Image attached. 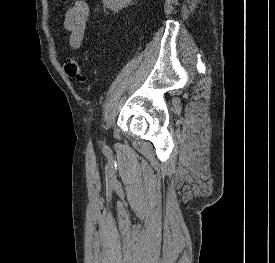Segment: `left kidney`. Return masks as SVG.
<instances>
[{
    "mask_svg": "<svg viewBox=\"0 0 275 263\" xmlns=\"http://www.w3.org/2000/svg\"><path fill=\"white\" fill-rule=\"evenodd\" d=\"M132 0H103V4L108 9L118 12L126 7Z\"/></svg>",
    "mask_w": 275,
    "mask_h": 263,
    "instance_id": "left-kidney-1",
    "label": "left kidney"
}]
</instances>
